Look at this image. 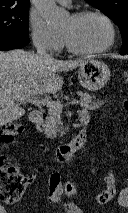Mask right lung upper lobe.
Returning a JSON list of instances; mask_svg holds the SVG:
<instances>
[{
    "label": "right lung upper lobe",
    "instance_id": "cb5924a9",
    "mask_svg": "<svg viewBox=\"0 0 128 213\" xmlns=\"http://www.w3.org/2000/svg\"><path fill=\"white\" fill-rule=\"evenodd\" d=\"M30 0H0V6H26L29 5Z\"/></svg>",
    "mask_w": 128,
    "mask_h": 213
}]
</instances>
